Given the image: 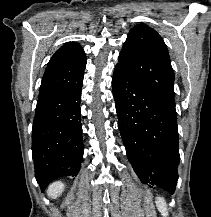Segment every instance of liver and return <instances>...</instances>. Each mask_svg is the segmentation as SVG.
Wrapping results in <instances>:
<instances>
[{
	"label": "liver",
	"mask_w": 211,
	"mask_h": 217,
	"mask_svg": "<svg viewBox=\"0 0 211 217\" xmlns=\"http://www.w3.org/2000/svg\"><path fill=\"white\" fill-rule=\"evenodd\" d=\"M64 191V184L62 182H54L49 185L47 194L49 197L55 199L62 194Z\"/></svg>",
	"instance_id": "6515ba94"
}]
</instances>
